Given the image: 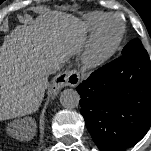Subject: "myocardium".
I'll list each match as a JSON object with an SVG mask.
<instances>
[{
    "label": "myocardium",
    "instance_id": "f54148a6",
    "mask_svg": "<svg viewBox=\"0 0 151 151\" xmlns=\"http://www.w3.org/2000/svg\"><path fill=\"white\" fill-rule=\"evenodd\" d=\"M114 19L119 23V31L116 36L109 42H104V28L106 23ZM125 33L124 23L114 14H108L101 19L95 27L93 34L87 44L84 52V62L92 67L100 66L108 61L119 48Z\"/></svg>",
    "mask_w": 151,
    "mask_h": 151
}]
</instances>
